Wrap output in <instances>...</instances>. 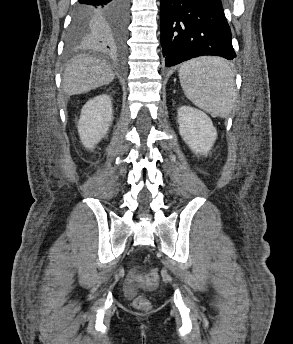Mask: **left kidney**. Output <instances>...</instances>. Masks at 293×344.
Instances as JSON below:
<instances>
[{
	"instance_id": "1",
	"label": "left kidney",
	"mask_w": 293,
	"mask_h": 344,
	"mask_svg": "<svg viewBox=\"0 0 293 344\" xmlns=\"http://www.w3.org/2000/svg\"><path fill=\"white\" fill-rule=\"evenodd\" d=\"M177 122L180 135L189 148L195 153L207 155L217 139L212 120L198 109L181 106L177 111Z\"/></svg>"
}]
</instances>
